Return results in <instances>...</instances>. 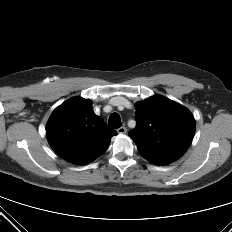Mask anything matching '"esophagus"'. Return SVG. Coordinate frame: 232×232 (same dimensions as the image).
<instances>
[{
  "label": "esophagus",
  "mask_w": 232,
  "mask_h": 232,
  "mask_svg": "<svg viewBox=\"0 0 232 232\" xmlns=\"http://www.w3.org/2000/svg\"><path fill=\"white\" fill-rule=\"evenodd\" d=\"M117 132L119 134H125L127 132V129H126L125 126H122V127H120V128L117 129Z\"/></svg>",
  "instance_id": "1"
}]
</instances>
